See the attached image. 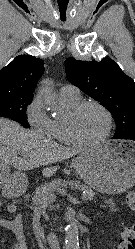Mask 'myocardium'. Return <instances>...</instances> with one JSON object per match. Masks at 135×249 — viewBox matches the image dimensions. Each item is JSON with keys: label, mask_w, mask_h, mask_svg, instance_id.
<instances>
[{"label": "myocardium", "mask_w": 135, "mask_h": 249, "mask_svg": "<svg viewBox=\"0 0 135 249\" xmlns=\"http://www.w3.org/2000/svg\"><path fill=\"white\" fill-rule=\"evenodd\" d=\"M89 106H94L100 109L105 115L106 120H107V129L105 133L96 139H84L77 133L75 129V119L82 112L83 109ZM66 127H67L69 136L71 137V139L73 140L75 144L83 145V146H93V145L100 144L101 142H103L110 136L112 127H113V118H112L111 112L103 104L97 101H92V100L82 101V102H79L76 106H74L69 111L67 118H66Z\"/></svg>", "instance_id": "myocardium-1"}]
</instances>
